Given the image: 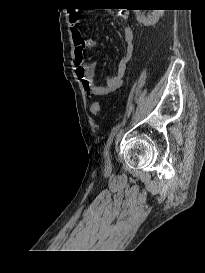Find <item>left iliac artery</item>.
<instances>
[{
	"label": "left iliac artery",
	"mask_w": 205,
	"mask_h": 273,
	"mask_svg": "<svg viewBox=\"0 0 205 273\" xmlns=\"http://www.w3.org/2000/svg\"><path fill=\"white\" fill-rule=\"evenodd\" d=\"M121 124L116 125L113 130L111 131L109 138L106 142L105 148H104V154L107 156L109 154L110 146L113 142L114 136L116 135L117 131L119 130Z\"/></svg>",
	"instance_id": "44dca946"
}]
</instances>
